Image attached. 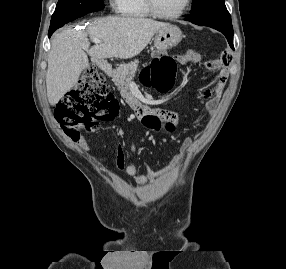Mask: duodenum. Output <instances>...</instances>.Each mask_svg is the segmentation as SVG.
<instances>
[{"instance_id": "410a0bca", "label": "duodenum", "mask_w": 286, "mask_h": 269, "mask_svg": "<svg viewBox=\"0 0 286 269\" xmlns=\"http://www.w3.org/2000/svg\"><path fill=\"white\" fill-rule=\"evenodd\" d=\"M98 64V66L105 72V74L107 75V76H109L110 74H111V69H110V67L106 64V63H104V62H98L97 63ZM136 109H138V108H140V106L138 105V106H134ZM145 108H147V107H145Z\"/></svg>"}]
</instances>
